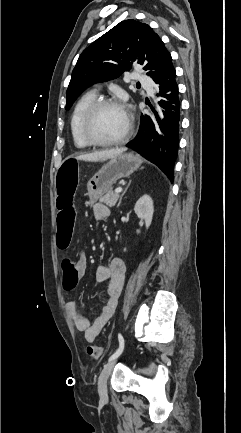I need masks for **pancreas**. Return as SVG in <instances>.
<instances>
[{
	"instance_id": "cf45deb5",
	"label": "pancreas",
	"mask_w": 241,
	"mask_h": 433,
	"mask_svg": "<svg viewBox=\"0 0 241 433\" xmlns=\"http://www.w3.org/2000/svg\"><path fill=\"white\" fill-rule=\"evenodd\" d=\"M119 197L120 195L118 193H114L113 191H108L106 194L99 197V202L104 203L107 206L113 208L116 205Z\"/></svg>"
}]
</instances>
